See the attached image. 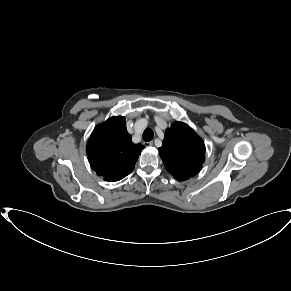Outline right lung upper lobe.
I'll return each mask as SVG.
<instances>
[{"instance_id":"obj_1","label":"right lung upper lobe","mask_w":291,"mask_h":291,"mask_svg":"<svg viewBox=\"0 0 291 291\" xmlns=\"http://www.w3.org/2000/svg\"><path fill=\"white\" fill-rule=\"evenodd\" d=\"M131 139L122 116L111 117L93 130L86 153L97 175L115 182L133 171L144 146L133 144Z\"/></svg>"}]
</instances>
